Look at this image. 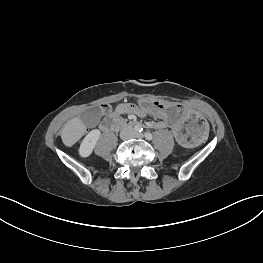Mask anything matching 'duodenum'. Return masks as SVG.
Returning <instances> with one entry per match:
<instances>
[{
    "label": "duodenum",
    "instance_id": "1",
    "mask_svg": "<svg viewBox=\"0 0 263 263\" xmlns=\"http://www.w3.org/2000/svg\"><path fill=\"white\" fill-rule=\"evenodd\" d=\"M104 125L106 128L115 129L136 126V123L130 120H120L115 116H111L105 120Z\"/></svg>",
    "mask_w": 263,
    "mask_h": 263
}]
</instances>
